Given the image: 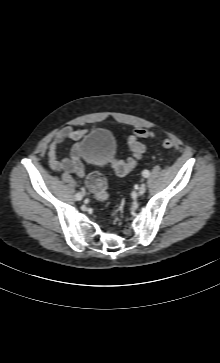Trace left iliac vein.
<instances>
[{
    "label": "left iliac vein",
    "instance_id": "1",
    "mask_svg": "<svg viewBox=\"0 0 220 363\" xmlns=\"http://www.w3.org/2000/svg\"><path fill=\"white\" fill-rule=\"evenodd\" d=\"M146 191V185L145 184H142L139 189H138V195L139 196H142Z\"/></svg>",
    "mask_w": 220,
    "mask_h": 363
}]
</instances>
